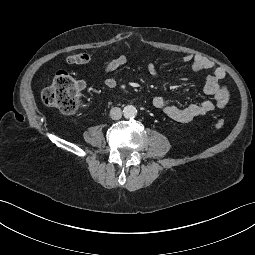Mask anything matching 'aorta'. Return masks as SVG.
<instances>
[{"instance_id":"762f6f07","label":"aorta","mask_w":255,"mask_h":255,"mask_svg":"<svg viewBox=\"0 0 255 255\" xmlns=\"http://www.w3.org/2000/svg\"><path fill=\"white\" fill-rule=\"evenodd\" d=\"M123 114L125 118H134L137 115V109L133 105H127L123 109Z\"/></svg>"}]
</instances>
